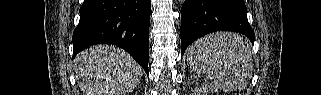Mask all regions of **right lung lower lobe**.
I'll list each match as a JSON object with an SVG mask.
<instances>
[{
	"instance_id": "obj_1",
	"label": "right lung lower lobe",
	"mask_w": 321,
	"mask_h": 95,
	"mask_svg": "<svg viewBox=\"0 0 321 95\" xmlns=\"http://www.w3.org/2000/svg\"><path fill=\"white\" fill-rule=\"evenodd\" d=\"M150 11L151 0H84L72 37L73 57L95 44L117 45L149 74Z\"/></svg>"
}]
</instances>
